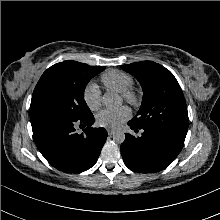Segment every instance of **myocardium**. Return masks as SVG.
I'll return each instance as SVG.
<instances>
[{"instance_id":"1","label":"myocardium","mask_w":220,"mask_h":220,"mask_svg":"<svg viewBox=\"0 0 220 220\" xmlns=\"http://www.w3.org/2000/svg\"><path fill=\"white\" fill-rule=\"evenodd\" d=\"M120 94L123 100L128 104L134 107H138L140 105L141 96L136 89L131 87L128 90L121 92Z\"/></svg>"}]
</instances>
